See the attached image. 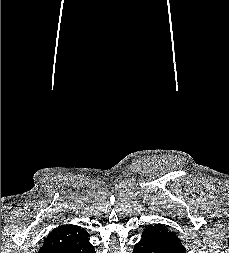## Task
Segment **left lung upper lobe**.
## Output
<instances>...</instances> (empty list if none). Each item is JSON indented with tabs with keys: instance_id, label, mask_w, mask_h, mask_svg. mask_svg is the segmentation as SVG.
I'll return each instance as SVG.
<instances>
[{
	"instance_id": "left-lung-upper-lobe-1",
	"label": "left lung upper lobe",
	"mask_w": 229,
	"mask_h": 253,
	"mask_svg": "<svg viewBox=\"0 0 229 253\" xmlns=\"http://www.w3.org/2000/svg\"><path fill=\"white\" fill-rule=\"evenodd\" d=\"M143 240L181 243L177 235L160 224L147 227L143 234Z\"/></svg>"
}]
</instances>
